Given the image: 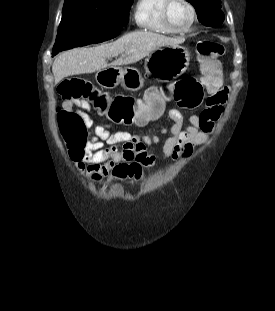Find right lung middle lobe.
<instances>
[{
    "label": "right lung middle lobe",
    "mask_w": 275,
    "mask_h": 311,
    "mask_svg": "<svg viewBox=\"0 0 275 311\" xmlns=\"http://www.w3.org/2000/svg\"><path fill=\"white\" fill-rule=\"evenodd\" d=\"M133 0H65L52 56L60 51L99 43L126 24Z\"/></svg>",
    "instance_id": "dd1d6c3e"
}]
</instances>
